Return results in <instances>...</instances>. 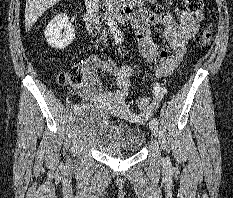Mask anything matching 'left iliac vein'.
<instances>
[{
  "label": "left iliac vein",
  "instance_id": "4c4485c4",
  "mask_svg": "<svg viewBox=\"0 0 233 198\" xmlns=\"http://www.w3.org/2000/svg\"><path fill=\"white\" fill-rule=\"evenodd\" d=\"M149 128L154 136L158 134V126L154 124L152 121L149 122Z\"/></svg>",
  "mask_w": 233,
  "mask_h": 198
}]
</instances>
